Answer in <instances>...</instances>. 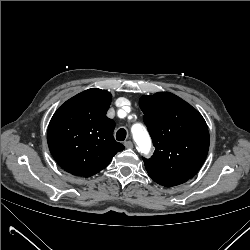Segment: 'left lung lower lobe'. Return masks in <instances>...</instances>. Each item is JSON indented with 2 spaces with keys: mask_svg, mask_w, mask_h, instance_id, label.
Here are the masks:
<instances>
[{
  "mask_svg": "<svg viewBox=\"0 0 250 250\" xmlns=\"http://www.w3.org/2000/svg\"><path fill=\"white\" fill-rule=\"evenodd\" d=\"M155 182L166 187H172L186 182V180L178 179H162V178H152Z\"/></svg>",
  "mask_w": 250,
  "mask_h": 250,
  "instance_id": "obj_1",
  "label": "left lung lower lobe"
}]
</instances>
